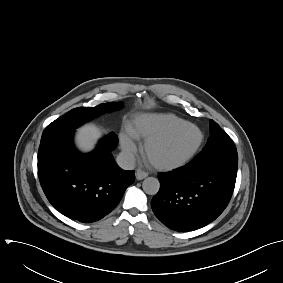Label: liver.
I'll return each mask as SVG.
<instances>
[{"instance_id":"6515ba94","label":"liver","mask_w":283,"mask_h":283,"mask_svg":"<svg viewBox=\"0 0 283 283\" xmlns=\"http://www.w3.org/2000/svg\"><path fill=\"white\" fill-rule=\"evenodd\" d=\"M100 135L101 130L97 126L93 124L84 125L78 129L76 138L77 145L81 150L89 151L94 147Z\"/></svg>"}]
</instances>
